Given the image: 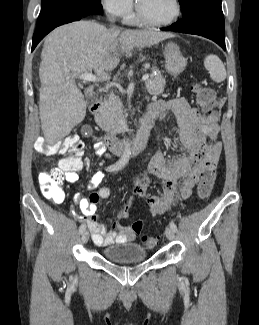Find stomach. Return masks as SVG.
Returning <instances> with one entry per match:
<instances>
[{
  "label": "stomach",
  "mask_w": 259,
  "mask_h": 325,
  "mask_svg": "<svg viewBox=\"0 0 259 325\" xmlns=\"http://www.w3.org/2000/svg\"><path fill=\"white\" fill-rule=\"evenodd\" d=\"M164 57L166 60L165 68L169 74L177 76L184 71L187 61L176 43L168 42L165 45Z\"/></svg>",
  "instance_id": "stomach-1"
}]
</instances>
